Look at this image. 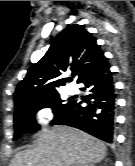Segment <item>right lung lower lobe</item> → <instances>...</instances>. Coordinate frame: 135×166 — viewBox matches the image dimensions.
Listing matches in <instances>:
<instances>
[{
	"label": "right lung lower lobe",
	"instance_id": "1",
	"mask_svg": "<svg viewBox=\"0 0 135 166\" xmlns=\"http://www.w3.org/2000/svg\"><path fill=\"white\" fill-rule=\"evenodd\" d=\"M77 83L85 84L88 100H72L71 105L53 124L81 129L101 140L112 143L115 126L116 93L107 59L82 76ZM83 102L88 103L83 107Z\"/></svg>",
	"mask_w": 135,
	"mask_h": 166
}]
</instances>
